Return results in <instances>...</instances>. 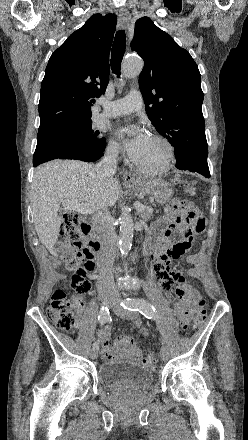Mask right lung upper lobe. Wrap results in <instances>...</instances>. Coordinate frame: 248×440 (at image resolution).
Returning <instances> with one entry per match:
<instances>
[{"instance_id":"right-lung-upper-lobe-1","label":"right lung upper lobe","mask_w":248,"mask_h":440,"mask_svg":"<svg viewBox=\"0 0 248 440\" xmlns=\"http://www.w3.org/2000/svg\"><path fill=\"white\" fill-rule=\"evenodd\" d=\"M117 17L92 15L51 55L41 84L39 132L91 120V103L105 92Z\"/></svg>"}]
</instances>
